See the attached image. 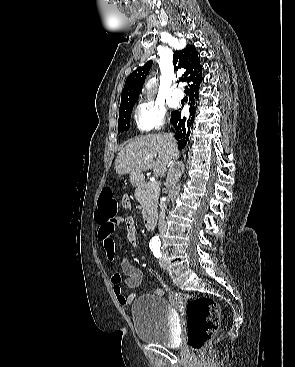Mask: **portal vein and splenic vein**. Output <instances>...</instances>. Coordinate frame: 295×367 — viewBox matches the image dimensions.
I'll return each mask as SVG.
<instances>
[{"mask_svg": "<svg viewBox=\"0 0 295 367\" xmlns=\"http://www.w3.org/2000/svg\"><path fill=\"white\" fill-rule=\"evenodd\" d=\"M154 188H158V183L156 181L153 182Z\"/></svg>", "mask_w": 295, "mask_h": 367, "instance_id": "portal-vein-and-splenic-vein-1", "label": "portal vein and splenic vein"}]
</instances>
